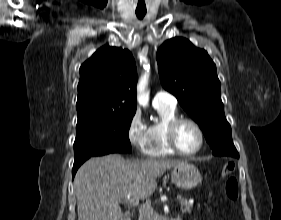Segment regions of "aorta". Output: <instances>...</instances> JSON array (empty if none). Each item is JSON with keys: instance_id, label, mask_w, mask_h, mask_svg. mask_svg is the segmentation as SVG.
<instances>
[{"instance_id": "762f6f07", "label": "aorta", "mask_w": 281, "mask_h": 220, "mask_svg": "<svg viewBox=\"0 0 281 220\" xmlns=\"http://www.w3.org/2000/svg\"><path fill=\"white\" fill-rule=\"evenodd\" d=\"M148 79L149 74L147 72L141 76L137 84V102L143 107H147L149 103Z\"/></svg>"}]
</instances>
